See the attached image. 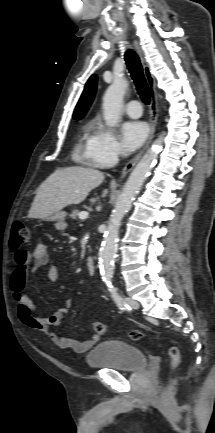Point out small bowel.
Masks as SVG:
<instances>
[{
    "label": "small bowel",
    "instance_id": "c3829d8e",
    "mask_svg": "<svg viewBox=\"0 0 215 433\" xmlns=\"http://www.w3.org/2000/svg\"><path fill=\"white\" fill-rule=\"evenodd\" d=\"M14 262L15 268L10 277L9 287L16 302L20 321L29 328L46 333L50 340L61 349H71L76 353H85L90 350L99 341L100 336L96 333L80 341L69 334L50 331L51 326H62L63 317L73 304L72 299L66 300L64 306L49 316L42 317L37 314L32 302L24 293L29 273L49 262L47 246L44 243H37L32 251L19 249L14 253ZM59 275L60 270L57 266H51L47 271L49 281H56Z\"/></svg>",
    "mask_w": 215,
    "mask_h": 433
}]
</instances>
